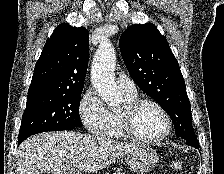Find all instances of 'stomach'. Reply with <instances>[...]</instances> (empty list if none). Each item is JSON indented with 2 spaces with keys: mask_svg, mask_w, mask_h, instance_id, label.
<instances>
[{
  "mask_svg": "<svg viewBox=\"0 0 224 174\" xmlns=\"http://www.w3.org/2000/svg\"><path fill=\"white\" fill-rule=\"evenodd\" d=\"M129 168L137 174H145L154 168L158 161L156 151L146 145H140L127 156Z\"/></svg>",
  "mask_w": 224,
  "mask_h": 174,
  "instance_id": "stomach-1",
  "label": "stomach"
}]
</instances>
